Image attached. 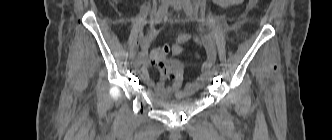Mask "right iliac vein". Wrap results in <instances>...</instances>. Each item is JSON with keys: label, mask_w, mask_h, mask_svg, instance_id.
Returning <instances> with one entry per match:
<instances>
[{"label": "right iliac vein", "mask_w": 332, "mask_h": 140, "mask_svg": "<svg viewBox=\"0 0 332 140\" xmlns=\"http://www.w3.org/2000/svg\"><path fill=\"white\" fill-rule=\"evenodd\" d=\"M170 2V0H161L162 5H166ZM144 56L142 54H139L138 57L135 60V67L139 68L141 64L143 63Z\"/></svg>", "instance_id": "right-iliac-vein-1"}]
</instances>
